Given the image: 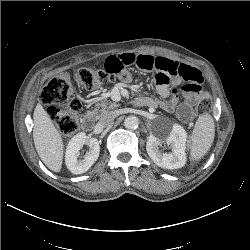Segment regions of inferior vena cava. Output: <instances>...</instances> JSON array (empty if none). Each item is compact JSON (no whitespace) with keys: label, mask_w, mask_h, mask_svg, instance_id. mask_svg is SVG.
<instances>
[{"label":"inferior vena cava","mask_w":250,"mask_h":250,"mask_svg":"<svg viewBox=\"0 0 250 250\" xmlns=\"http://www.w3.org/2000/svg\"><path fill=\"white\" fill-rule=\"evenodd\" d=\"M116 116H117V114L114 111L105 112L101 116V118H100V120L98 122V125L101 126V127H107L114 121Z\"/></svg>","instance_id":"inferior-vena-cava-1"}]
</instances>
